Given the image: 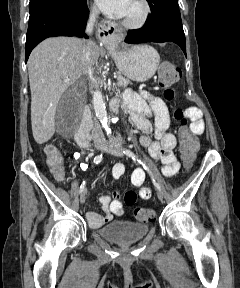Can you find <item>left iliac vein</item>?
<instances>
[{"mask_svg": "<svg viewBox=\"0 0 240 288\" xmlns=\"http://www.w3.org/2000/svg\"><path fill=\"white\" fill-rule=\"evenodd\" d=\"M103 150L117 157L124 156L123 150L121 148L105 145ZM157 197L160 201H163V193L159 189H157Z\"/></svg>", "mask_w": 240, "mask_h": 288, "instance_id": "1", "label": "left iliac vein"}]
</instances>
